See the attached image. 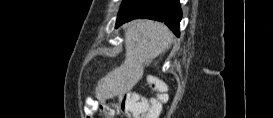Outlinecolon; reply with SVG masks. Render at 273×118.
Here are the masks:
<instances>
[{
	"mask_svg": "<svg viewBox=\"0 0 273 118\" xmlns=\"http://www.w3.org/2000/svg\"><path fill=\"white\" fill-rule=\"evenodd\" d=\"M154 84L157 80L153 79ZM165 86H159V93L153 97H147L138 93H127L118 98L115 106L93 99L91 109L86 114V118H92L95 110H99L105 118H114L117 113H123L132 118H156L160 114L163 104L167 101Z\"/></svg>",
	"mask_w": 273,
	"mask_h": 118,
	"instance_id": "1",
	"label": "colon"
}]
</instances>
